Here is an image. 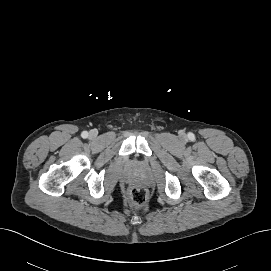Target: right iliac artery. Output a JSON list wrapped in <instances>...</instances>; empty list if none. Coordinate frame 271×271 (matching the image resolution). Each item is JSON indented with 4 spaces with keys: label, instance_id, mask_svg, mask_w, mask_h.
Returning <instances> with one entry per match:
<instances>
[{
    "label": "right iliac artery",
    "instance_id": "1",
    "mask_svg": "<svg viewBox=\"0 0 271 271\" xmlns=\"http://www.w3.org/2000/svg\"><path fill=\"white\" fill-rule=\"evenodd\" d=\"M81 136L83 138H87L88 137V132L87 131L82 132Z\"/></svg>",
    "mask_w": 271,
    "mask_h": 271
}]
</instances>
